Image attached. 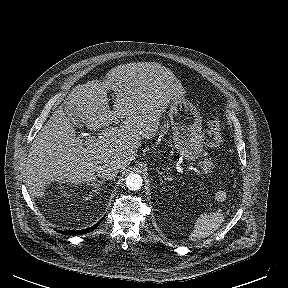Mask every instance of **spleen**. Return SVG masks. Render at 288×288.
Wrapping results in <instances>:
<instances>
[{"instance_id": "3e777b00", "label": "spleen", "mask_w": 288, "mask_h": 288, "mask_svg": "<svg viewBox=\"0 0 288 288\" xmlns=\"http://www.w3.org/2000/svg\"><path fill=\"white\" fill-rule=\"evenodd\" d=\"M224 221V216L220 212L201 214L189 235L190 241H197L210 236Z\"/></svg>"}]
</instances>
